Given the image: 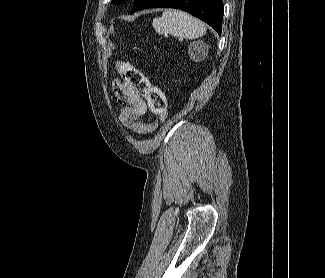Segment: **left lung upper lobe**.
Wrapping results in <instances>:
<instances>
[{"mask_svg":"<svg viewBox=\"0 0 325 278\" xmlns=\"http://www.w3.org/2000/svg\"><path fill=\"white\" fill-rule=\"evenodd\" d=\"M125 0H112V2L114 3V4H119V3H122V2H124Z\"/></svg>","mask_w":325,"mask_h":278,"instance_id":"obj_1","label":"left lung upper lobe"}]
</instances>
